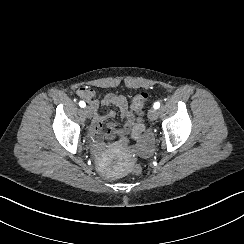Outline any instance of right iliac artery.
<instances>
[{"label":"right iliac artery","instance_id":"right-iliac-artery-1","mask_svg":"<svg viewBox=\"0 0 244 244\" xmlns=\"http://www.w3.org/2000/svg\"><path fill=\"white\" fill-rule=\"evenodd\" d=\"M79 106L82 107V108H84L86 106V103L84 101H80L79 102Z\"/></svg>","mask_w":244,"mask_h":244}]
</instances>
